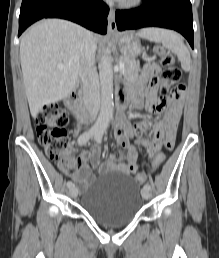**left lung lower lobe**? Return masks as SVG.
<instances>
[{
	"label": "left lung lower lobe",
	"instance_id": "obj_1",
	"mask_svg": "<svg viewBox=\"0 0 219 258\" xmlns=\"http://www.w3.org/2000/svg\"><path fill=\"white\" fill-rule=\"evenodd\" d=\"M115 20L119 31L150 26L176 30L194 48L190 0H144L141 7L117 10Z\"/></svg>",
	"mask_w": 219,
	"mask_h": 258
}]
</instances>
